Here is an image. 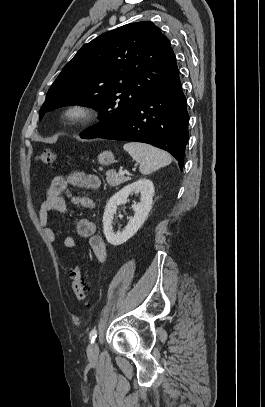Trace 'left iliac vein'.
<instances>
[{
    "label": "left iliac vein",
    "instance_id": "left-iliac-vein-1",
    "mask_svg": "<svg viewBox=\"0 0 265 407\" xmlns=\"http://www.w3.org/2000/svg\"><path fill=\"white\" fill-rule=\"evenodd\" d=\"M88 356L95 358L98 355V345L96 342H92L87 349Z\"/></svg>",
    "mask_w": 265,
    "mask_h": 407
}]
</instances>
